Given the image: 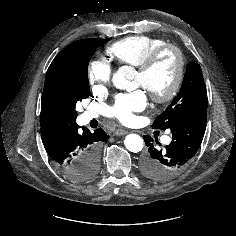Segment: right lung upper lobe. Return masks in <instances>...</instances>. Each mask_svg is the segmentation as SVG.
Returning a JSON list of instances; mask_svg holds the SVG:
<instances>
[{
	"mask_svg": "<svg viewBox=\"0 0 236 236\" xmlns=\"http://www.w3.org/2000/svg\"><path fill=\"white\" fill-rule=\"evenodd\" d=\"M64 50L65 49H63L53 60V62L48 68L46 77L58 65L64 53ZM70 120L71 119L67 115L64 107L60 105L50 93L47 86V81L45 79V86H44L42 100H41L40 125L44 126L51 123H65V122H69Z\"/></svg>",
	"mask_w": 236,
	"mask_h": 236,
	"instance_id": "cb5924a9",
	"label": "right lung upper lobe"
}]
</instances>
